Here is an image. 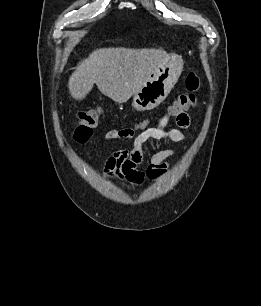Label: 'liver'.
<instances>
[{
  "instance_id": "1",
  "label": "liver",
  "mask_w": 261,
  "mask_h": 306,
  "mask_svg": "<svg viewBox=\"0 0 261 306\" xmlns=\"http://www.w3.org/2000/svg\"><path fill=\"white\" fill-rule=\"evenodd\" d=\"M168 57L163 49H96L75 67L68 82L69 92L74 99L83 100L95 83L113 101L126 102Z\"/></svg>"
}]
</instances>
